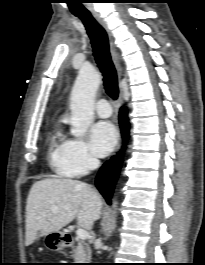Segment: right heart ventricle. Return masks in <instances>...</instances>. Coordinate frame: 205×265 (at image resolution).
I'll return each instance as SVG.
<instances>
[{
	"instance_id": "right-heart-ventricle-1",
	"label": "right heart ventricle",
	"mask_w": 205,
	"mask_h": 265,
	"mask_svg": "<svg viewBox=\"0 0 205 265\" xmlns=\"http://www.w3.org/2000/svg\"><path fill=\"white\" fill-rule=\"evenodd\" d=\"M66 140L59 132L53 134L48 146V161L51 168L60 176L72 177L63 166V156Z\"/></svg>"
}]
</instances>
